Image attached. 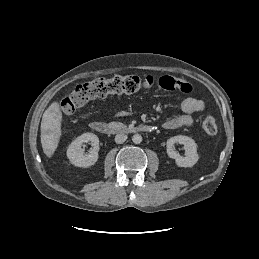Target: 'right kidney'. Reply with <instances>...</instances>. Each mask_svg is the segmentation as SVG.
<instances>
[{
	"label": "right kidney",
	"mask_w": 259,
	"mask_h": 259,
	"mask_svg": "<svg viewBox=\"0 0 259 259\" xmlns=\"http://www.w3.org/2000/svg\"><path fill=\"white\" fill-rule=\"evenodd\" d=\"M91 142L93 148L88 154H84L82 145ZM99 138L93 133H84L78 136L68 147L67 157L71 164L77 167L87 168L94 165L98 160Z\"/></svg>",
	"instance_id": "1"
}]
</instances>
